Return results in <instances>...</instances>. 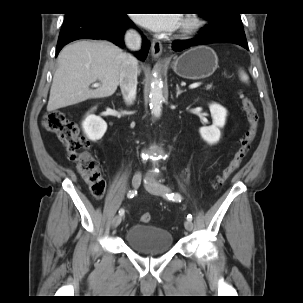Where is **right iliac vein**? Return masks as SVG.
Here are the masks:
<instances>
[{"label": "right iliac vein", "instance_id": "63e3f726", "mask_svg": "<svg viewBox=\"0 0 303 303\" xmlns=\"http://www.w3.org/2000/svg\"><path fill=\"white\" fill-rule=\"evenodd\" d=\"M142 176L140 174H135L132 178V186L137 189L141 184ZM122 221V216L117 215L113 218L111 222L112 228H116L120 225Z\"/></svg>", "mask_w": 303, "mask_h": 303}]
</instances>
